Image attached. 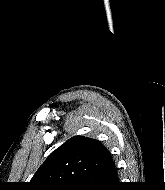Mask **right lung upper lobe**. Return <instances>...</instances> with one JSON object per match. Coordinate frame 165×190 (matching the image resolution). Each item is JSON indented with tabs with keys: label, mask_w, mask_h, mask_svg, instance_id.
Listing matches in <instances>:
<instances>
[{
	"label": "right lung upper lobe",
	"mask_w": 165,
	"mask_h": 190,
	"mask_svg": "<svg viewBox=\"0 0 165 190\" xmlns=\"http://www.w3.org/2000/svg\"><path fill=\"white\" fill-rule=\"evenodd\" d=\"M111 160V153L99 141L74 136L48 156L26 189L51 190L80 182L90 171Z\"/></svg>",
	"instance_id": "right-lung-upper-lobe-1"
}]
</instances>
